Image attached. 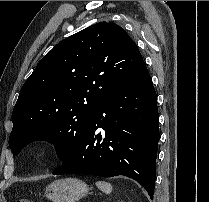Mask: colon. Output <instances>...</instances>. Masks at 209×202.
I'll return each mask as SVG.
<instances>
[{
    "instance_id": "colon-1",
    "label": "colon",
    "mask_w": 209,
    "mask_h": 202,
    "mask_svg": "<svg viewBox=\"0 0 209 202\" xmlns=\"http://www.w3.org/2000/svg\"><path fill=\"white\" fill-rule=\"evenodd\" d=\"M15 202H31V201L28 200V199L23 198V199H18V200L15 201Z\"/></svg>"
}]
</instances>
